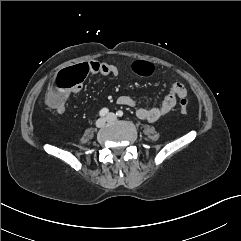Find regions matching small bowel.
<instances>
[{
	"instance_id": "c3829d8e",
	"label": "small bowel",
	"mask_w": 241,
	"mask_h": 241,
	"mask_svg": "<svg viewBox=\"0 0 241 241\" xmlns=\"http://www.w3.org/2000/svg\"><path fill=\"white\" fill-rule=\"evenodd\" d=\"M87 63L91 67V72L95 74H100L105 77H117L119 75V69L113 65L106 62H99V61H87ZM82 89V85L79 84L76 86L72 92L77 93ZM184 91L187 93L185 86L182 83H174L164 98L162 103L159 106L145 108V107H137L136 108V115L138 118L142 120H147L149 122H155L161 117L168 114L176 105L177 98H180V92ZM68 93L64 96V101L59 104H52L49 105L52 109H54L59 114H65L66 106L65 102L68 98ZM116 103L121 106H129L135 107L136 103L135 100L127 95L118 96L116 99Z\"/></svg>"
}]
</instances>
